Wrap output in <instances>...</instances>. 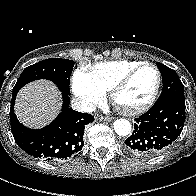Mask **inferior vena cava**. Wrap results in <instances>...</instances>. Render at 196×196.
Instances as JSON below:
<instances>
[{
  "instance_id": "1",
  "label": "inferior vena cava",
  "mask_w": 196,
  "mask_h": 196,
  "mask_svg": "<svg viewBox=\"0 0 196 196\" xmlns=\"http://www.w3.org/2000/svg\"><path fill=\"white\" fill-rule=\"evenodd\" d=\"M71 107L76 111L85 113H90L96 110V106L92 102L80 97L72 99Z\"/></svg>"
}]
</instances>
